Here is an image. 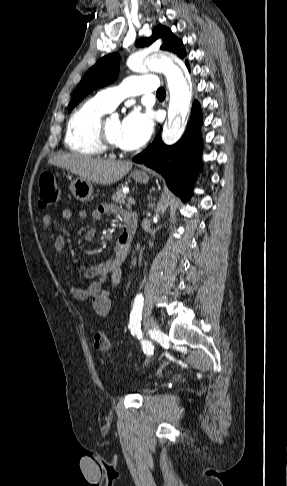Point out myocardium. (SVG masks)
Returning <instances> with one entry per match:
<instances>
[{
  "label": "myocardium",
  "mask_w": 287,
  "mask_h": 486,
  "mask_svg": "<svg viewBox=\"0 0 287 486\" xmlns=\"http://www.w3.org/2000/svg\"><path fill=\"white\" fill-rule=\"evenodd\" d=\"M98 137L101 145L103 148L107 151H113V152H122L124 151L122 147L118 146L116 143H114L106 129V123H101L98 131Z\"/></svg>",
  "instance_id": "myocardium-1"
}]
</instances>
